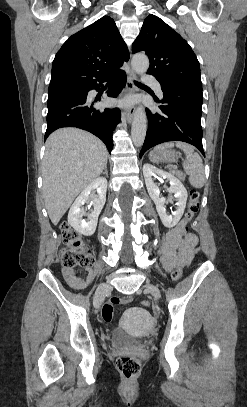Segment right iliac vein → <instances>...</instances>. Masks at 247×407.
<instances>
[{
    "label": "right iliac vein",
    "mask_w": 247,
    "mask_h": 407,
    "mask_svg": "<svg viewBox=\"0 0 247 407\" xmlns=\"http://www.w3.org/2000/svg\"><path fill=\"white\" fill-rule=\"evenodd\" d=\"M111 291V285L109 283H101L95 293V298H94V306L95 308H99L101 304L103 303L106 294Z\"/></svg>",
    "instance_id": "right-iliac-vein-1"
}]
</instances>
